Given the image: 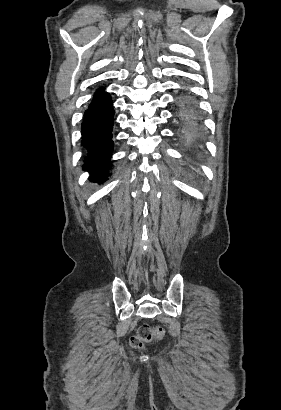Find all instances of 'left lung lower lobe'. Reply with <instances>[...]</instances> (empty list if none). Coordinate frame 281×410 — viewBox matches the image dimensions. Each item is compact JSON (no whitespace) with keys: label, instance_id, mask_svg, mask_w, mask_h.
<instances>
[{"label":"left lung lower lobe","instance_id":"obj_1","mask_svg":"<svg viewBox=\"0 0 281 410\" xmlns=\"http://www.w3.org/2000/svg\"><path fill=\"white\" fill-rule=\"evenodd\" d=\"M180 118L183 124L182 135L186 142L193 146L201 145L204 138L202 122L193 100L187 96L181 99Z\"/></svg>","mask_w":281,"mask_h":410}]
</instances>
